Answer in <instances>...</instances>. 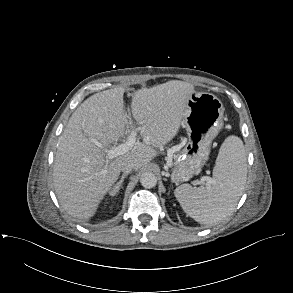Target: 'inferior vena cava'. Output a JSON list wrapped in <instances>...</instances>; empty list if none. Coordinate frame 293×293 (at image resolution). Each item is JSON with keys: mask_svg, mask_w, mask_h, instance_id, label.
Returning <instances> with one entry per match:
<instances>
[{"mask_svg": "<svg viewBox=\"0 0 293 293\" xmlns=\"http://www.w3.org/2000/svg\"><path fill=\"white\" fill-rule=\"evenodd\" d=\"M135 165L133 162L127 160L122 164L121 170L125 173H129L134 169Z\"/></svg>", "mask_w": 293, "mask_h": 293, "instance_id": "inferior-vena-cava-1", "label": "inferior vena cava"}]
</instances>
